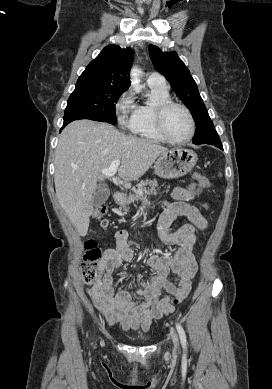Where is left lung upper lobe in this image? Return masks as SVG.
<instances>
[{
	"mask_svg": "<svg viewBox=\"0 0 272 389\" xmlns=\"http://www.w3.org/2000/svg\"><path fill=\"white\" fill-rule=\"evenodd\" d=\"M149 52L154 67L165 76L193 116L196 123L193 143L200 144L217 133L200 97L197 85L178 55L175 52H162L154 45H149Z\"/></svg>",
	"mask_w": 272,
	"mask_h": 389,
	"instance_id": "obj_1",
	"label": "left lung upper lobe"
}]
</instances>
